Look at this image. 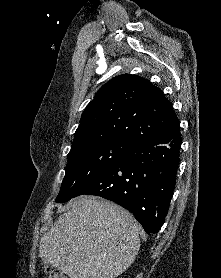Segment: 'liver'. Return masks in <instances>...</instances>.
Here are the masks:
<instances>
[{
    "label": "liver",
    "mask_w": 221,
    "mask_h": 278,
    "mask_svg": "<svg viewBox=\"0 0 221 278\" xmlns=\"http://www.w3.org/2000/svg\"><path fill=\"white\" fill-rule=\"evenodd\" d=\"M40 240L39 255L70 278H115L134 262L139 229L119 205L95 196L72 200Z\"/></svg>",
    "instance_id": "liver-1"
}]
</instances>
